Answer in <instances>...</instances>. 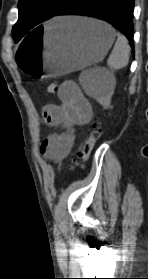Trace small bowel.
I'll return each instance as SVG.
<instances>
[{
  "mask_svg": "<svg viewBox=\"0 0 148 279\" xmlns=\"http://www.w3.org/2000/svg\"><path fill=\"white\" fill-rule=\"evenodd\" d=\"M58 96L60 103L45 105L42 116L47 125L60 126L63 131L47 136L40 151L45 158L60 167L76 145V127L88 123L93 111L91 104L73 81L63 82Z\"/></svg>",
  "mask_w": 148,
  "mask_h": 279,
  "instance_id": "small-bowel-1",
  "label": "small bowel"
}]
</instances>
